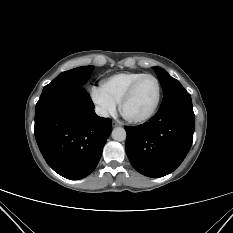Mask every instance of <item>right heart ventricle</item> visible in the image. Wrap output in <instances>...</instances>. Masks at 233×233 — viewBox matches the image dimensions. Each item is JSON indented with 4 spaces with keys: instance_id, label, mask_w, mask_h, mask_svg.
I'll return each instance as SVG.
<instances>
[{
    "instance_id": "1",
    "label": "right heart ventricle",
    "mask_w": 233,
    "mask_h": 233,
    "mask_svg": "<svg viewBox=\"0 0 233 233\" xmlns=\"http://www.w3.org/2000/svg\"><path fill=\"white\" fill-rule=\"evenodd\" d=\"M144 73L140 72H125L118 73L111 77H109L105 81V85L108 87L113 96L121 101L125 92L129 88V86L135 81L137 78L142 76Z\"/></svg>"
}]
</instances>
